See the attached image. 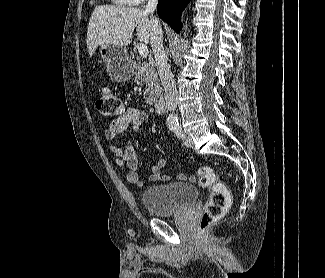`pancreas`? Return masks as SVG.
Segmentation results:
<instances>
[{
	"label": "pancreas",
	"mask_w": 325,
	"mask_h": 278,
	"mask_svg": "<svg viewBox=\"0 0 325 278\" xmlns=\"http://www.w3.org/2000/svg\"><path fill=\"white\" fill-rule=\"evenodd\" d=\"M135 80L144 83V98L147 103H154L161 95L162 88L155 68L146 62L138 63L136 66Z\"/></svg>",
	"instance_id": "1"
}]
</instances>
